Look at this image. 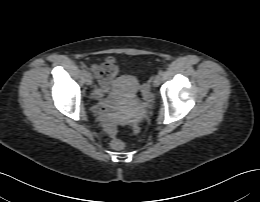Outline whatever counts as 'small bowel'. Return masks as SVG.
I'll list each match as a JSON object with an SVG mask.
<instances>
[{"label":"small bowel","instance_id":"obj_1","mask_svg":"<svg viewBox=\"0 0 260 202\" xmlns=\"http://www.w3.org/2000/svg\"><path fill=\"white\" fill-rule=\"evenodd\" d=\"M110 88V82H101L100 86L94 91V97L98 99V104L95 106V110L106 134L114 136L118 131V127L126 123V118L121 114H115L112 112L113 98L106 96Z\"/></svg>","mask_w":260,"mask_h":202}]
</instances>
